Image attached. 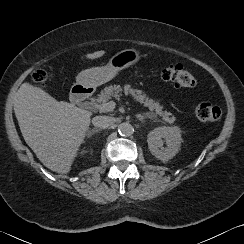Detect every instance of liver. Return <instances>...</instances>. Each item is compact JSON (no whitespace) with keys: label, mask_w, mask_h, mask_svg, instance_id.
Segmentation results:
<instances>
[{"label":"liver","mask_w":244,"mask_h":244,"mask_svg":"<svg viewBox=\"0 0 244 244\" xmlns=\"http://www.w3.org/2000/svg\"><path fill=\"white\" fill-rule=\"evenodd\" d=\"M104 54L101 50L85 57L93 60ZM14 112L25 142L40 162L54 172L68 173L84 142L92 113L72 103L57 101L29 83L19 88Z\"/></svg>","instance_id":"liver-1"}]
</instances>
